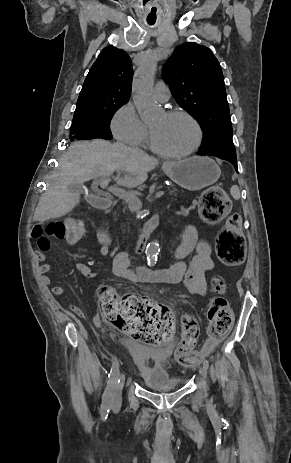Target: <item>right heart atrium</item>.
<instances>
[{
  "label": "right heart atrium",
  "instance_id": "1",
  "mask_svg": "<svg viewBox=\"0 0 291 463\" xmlns=\"http://www.w3.org/2000/svg\"><path fill=\"white\" fill-rule=\"evenodd\" d=\"M114 137L127 145L139 147L148 140V130L132 102L123 104L111 119Z\"/></svg>",
  "mask_w": 291,
  "mask_h": 463
}]
</instances>
